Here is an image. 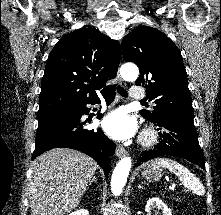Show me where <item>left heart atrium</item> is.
Instances as JSON below:
<instances>
[{
    "instance_id": "obj_1",
    "label": "left heart atrium",
    "mask_w": 221,
    "mask_h": 215,
    "mask_svg": "<svg viewBox=\"0 0 221 215\" xmlns=\"http://www.w3.org/2000/svg\"><path fill=\"white\" fill-rule=\"evenodd\" d=\"M105 132L118 140H125L132 137L137 129L134 118L120 108L108 114L102 121Z\"/></svg>"
}]
</instances>
